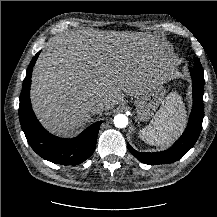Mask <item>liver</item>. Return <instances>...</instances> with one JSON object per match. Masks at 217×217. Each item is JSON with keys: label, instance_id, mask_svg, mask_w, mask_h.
I'll return each instance as SVG.
<instances>
[{"label": "liver", "instance_id": "obj_1", "mask_svg": "<svg viewBox=\"0 0 217 217\" xmlns=\"http://www.w3.org/2000/svg\"><path fill=\"white\" fill-rule=\"evenodd\" d=\"M135 40L97 31L59 34L45 44L33 70L31 99L44 126L68 135L91 118L89 105L105 101L104 110L158 84L153 71L172 60L156 57L146 65ZM154 68V69H153Z\"/></svg>", "mask_w": 217, "mask_h": 217}]
</instances>
